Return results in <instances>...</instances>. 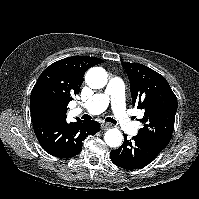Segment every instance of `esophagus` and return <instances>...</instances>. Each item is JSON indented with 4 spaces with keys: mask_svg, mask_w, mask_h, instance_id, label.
Masks as SVG:
<instances>
[{
    "mask_svg": "<svg viewBox=\"0 0 199 199\" xmlns=\"http://www.w3.org/2000/svg\"><path fill=\"white\" fill-rule=\"evenodd\" d=\"M110 127H111V125H110L109 123L103 122V123L101 124V129H102V130H107V129H109Z\"/></svg>",
    "mask_w": 199,
    "mask_h": 199,
    "instance_id": "obj_1",
    "label": "esophagus"
}]
</instances>
